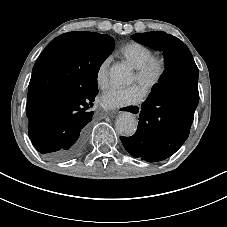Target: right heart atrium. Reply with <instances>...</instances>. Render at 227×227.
I'll list each match as a JSON object with an SVG mask.
<instances>
[{"label":"right heart atrium","mask_w":227,"mask_h":227,"mask_svg":"<svg viewBox=\"0 0 227 227\" xmlns=\"http://www.w3.org/2000/svg\"><path fill=\"white\" fill-rule=\"evenodd\" d=\"M111 59L105 58L100 62L96 69L95 80L99 88H105L109 84V65Z\"/></svg>","instance_id":"d8ad5b80"}]
</instances>
